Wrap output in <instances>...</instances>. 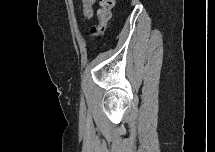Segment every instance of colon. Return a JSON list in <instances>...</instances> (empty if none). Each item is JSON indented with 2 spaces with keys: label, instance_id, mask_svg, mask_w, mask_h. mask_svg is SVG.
<instances>
[{
  "label": "colon",
  "instance_id": "5ec220e1",
  "mask_svg": "<svg viewBox=\"0 0 215 152\" xmlns=\"http://www.w3.org/2000/svg\"><path fill=\"white\" fill-rule=\"evenodd\" d=\"M93 3L94 0L83 1V13L86 17L91 16ZM113 6L114 0H99V9L97 11L98 23L91 29V35L93 37H100L104 33L107 23L111 18Z\"/></svg>",
  "mask_w": 215,
  "mask_h": 152
}]
</instances>
